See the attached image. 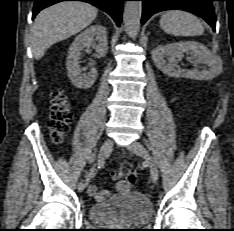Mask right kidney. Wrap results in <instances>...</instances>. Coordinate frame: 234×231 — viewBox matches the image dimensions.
<instances>
[{"instance_id": "1", "label": "right kidney", "mask_w": 234, "mask_h": 231, "mask_svg": "<svg viewBox=\"0 0 234 231\" xmlns=\"http://www.w3.org/2000/svg\"><path fill=\"white\" fill-rule=\"evenodd\" d=\"M95 40L98 45L95 44ZM94 47L98 57H103L108 51L107 46V32L106 28L102 25H93L80 33L70 46L66 68L68 77L72 84L81 89H88L94 84L98 72L95 68H91L88 75L82 74L86 68L80 67L81 51L86 48Z\"/></svg>"}]
</instances>
